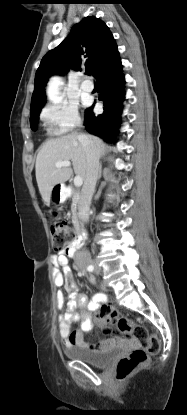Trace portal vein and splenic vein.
Instances as JSON below:
<instances>
[{"label": "portal vein and splenic vein", "instance_id": "obj_1", "mask_svg": "<svg viewBox=\"0 0 187 415\" xmlns=\"http://www.w3.org/2000/svg\"><path fill=\"white\" fill-rule=\"evenodd\" d=\"M71 165V162L70 161H60V162H57L56 164H55V166L57 167V168H61V167H69ZM82 184H83V179H82V177H80V176H75V178H74V185H75V187H80V186H82Z\"/></svg>", "mask_w": 187, "mask_h": 415}]
</instances>
